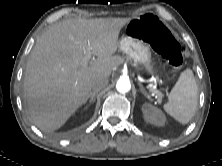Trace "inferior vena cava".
I'll return each mask as SVG.
<instances>
[{
    "mask_svg": "<svg viewBox=\"0 0 222 166\" xmlns=\"http://www.w3.org/2000/svg\"><path fill=\"white\" fill-rule=\"evenodd\" d=\"M108 84V79L106 78H99L96 79L93 83H92V91L93 93H97L99 91H101L102 89H104Z\"/></svg>",
    "mask_w": 222,
    "mask_h": 166,
    "instance_id": "obj_1",
    "label": "inferior vena cava"
}]
</instances>
